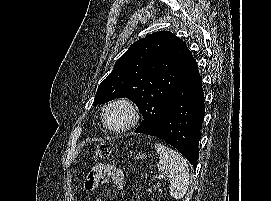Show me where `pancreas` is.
I'll return each instance as SVG.
<instances>
[{
	"mask_svg": "<svg viewBox=\"0 0 271 201\" xmlns=\"http://www.w3.org/2000/svg\"><path fill=\"white\" fill-rule=\"evenodd\" d=\"M155 188H158L159 191H162V189H160L159 185H157ZM148 191H152L151 189H148Z\"/></svg>",
	"mask_w": 271,
	"mask_h": 201,
	"instance_id": "pancreas-1",
	"label": "pancreas"
}]
</instances>
